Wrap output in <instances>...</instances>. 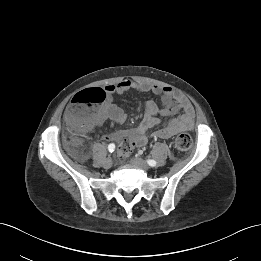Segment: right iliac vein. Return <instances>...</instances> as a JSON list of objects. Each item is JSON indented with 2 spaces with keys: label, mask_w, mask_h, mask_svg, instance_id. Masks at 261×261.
<instances>
[{
  "label": "right iliac vein",
  "mask_w": 261,
  "mask_h": 261,
  "mask_svg": "<svg viewBox=\"0 0 261 261\" xmlns=\"http://www.w3.org/2000/svg\"><path fill=\"white\" fill-rule=\"evenodd\" d=\"M103 167L105 169L111 168L112 167V159L111 158L105 159L104 162H103Z\"/></svg>",
  "instance_id": "1"
}]
</instances>
